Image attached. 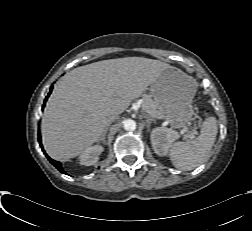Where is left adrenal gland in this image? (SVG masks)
I'll use <instances>...</instances> for the list:
<instances>
[{
    "instance_id": "a2214340",
    "label": "left adrenal gland",
    "mask_w": 252,
    "mask_h": 231,
    "mask_svg": "<svg viewBox=\"0 0 252 231\" xmlns=\"http://www.w3.org/2000/svg\"><path fill=\"white\" fill-rule=\"evenodd\" d=\"M146 118V127H147V131L150 130V124L152 123L153 119L149 116V115H145Z\"/></svg>"
}]
</instances>
